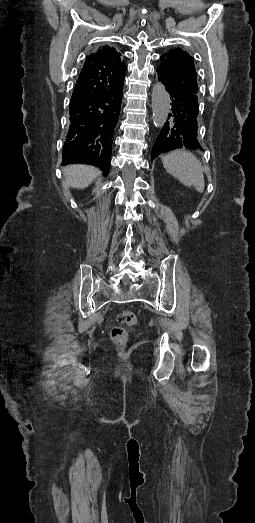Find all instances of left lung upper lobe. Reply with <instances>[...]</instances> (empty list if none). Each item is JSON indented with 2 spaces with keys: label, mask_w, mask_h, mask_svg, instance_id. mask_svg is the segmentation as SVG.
<instances>
[{
  "label": "left lung upper lobe",
  "mask_w": 255,
  "mask_h": 523,
  "mask_svg": "<svg viewBox=\"0 0 255 523\" xmlns=\"http://www.w3.org/2000/svg\"><path fill=\"white\" fill-rule=\"evenodd\" d=\"M160 60L161 64L157 68L158 75L167 80L169 85H174L179 92L186 93L191 102L198 107V97L196 95L198 93V84L193 57L180 48H176L163 54ZM198 144H200L199 141ZM173 149L176 148L172 147Z\"/></svg>",
  "instance_id": "5c2ea615"
}]
</instances>
